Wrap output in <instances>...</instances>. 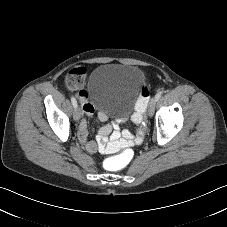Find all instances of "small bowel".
Returning <instances> with one entry per match:
<instances>
[{"instance_id":"obj_1","label":"small bowel","mask_w":227,"mask_h":227,"mask_svg":"<svg viewBox=\"0 0 227 227\" xmlns=\"http://www.w3.org/2000/svg\"><path fill=\"white\" fill-rule=\"evenodd\" d=\"M76 74L80 76L82 80L86 75V69L84 67H78L75 69ZM78 98L82 103L83 112L86 117L93 116L96 113V108L88 100L85 90H80ZM97 118L100 122H105L108 116L105 112L101 111L97 113ZM79 137L85 144V148L88 152L94 153L97 151L102 152H115L121 149H126L133 145H139L143 141V131H139L136 137L132 136L129 131H120L118 122L114 121L110 124L104 125L95 140L87 138V122L84 120L79 126Z\"/></svg>"}]
</instances>
